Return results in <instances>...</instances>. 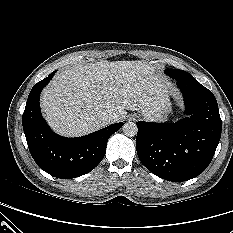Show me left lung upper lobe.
Here are the masks:
<instances>
[{"mask_svg": "<svg viewBox=\"0 0 233 233\" xmlns=\"http://www.w3.org/2000/svg\"><path fill=\"white\" fill-rule=\"evenodd\" d=\"M165 73L175 79L176 81H181V80H188V79H194L193 76L186 71L183 70H173V69H167L165 70Z\"/></svg>", "mask_w": 233, "mask_h": 233, "instance_id": "5c2ea615", "label": "left lung upper lobe"}]
</instances>
